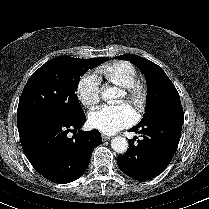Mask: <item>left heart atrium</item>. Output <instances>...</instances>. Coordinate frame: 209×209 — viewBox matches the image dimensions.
I'll list each match as a JSON object with an SVG mask.
<instances>
[{
    "label": "left heart atrium",
    "mask_w": 209,
    "mask_h": 209,
    "mask_svg": "<svg viewBox=\"0 0 209 209\" xmlns=\"http://www.w3.org/2000/svg\"><path fill=\"white\" fill-rule=\"evenodd\" d=\"M137 119L135 110L128 104L105 105L89 115L92 128L106 134H113L132 125Z\"/></svg>",
    "instance_id": "39dd6f15"
}]
</instances>
